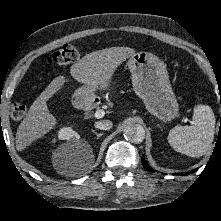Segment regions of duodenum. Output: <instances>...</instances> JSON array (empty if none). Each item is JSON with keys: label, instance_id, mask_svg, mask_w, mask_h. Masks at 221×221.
I'll use <instances>...</instances> for the list:
<instances>
[{"label": "duodenum", "instance_id": "duodenum-1", "mask_svg": "<svg viewBox=\"0 0 221 221\" xmlns=\"http://www.w3.org/2000/svg\"><path fill=\"white\" fill-rule=\"evenodd\" d=\"M78 105L83 109V110H90L91 109V103L87 99H81L78 103Z\"/></svg>", "mask_w": 221, "mask_h": 221}]
</instances>
